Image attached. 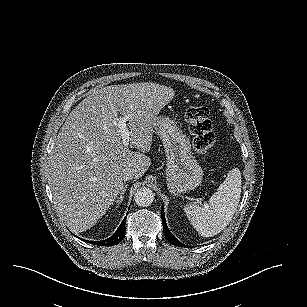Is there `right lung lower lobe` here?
Segmentation results:
<instances>
[{"mask_svg":"<svg viewBox=\"0 0 307 307\" xmlns=\"http://www.w3.org/2000/svg\"><path fill=\"white\" fill-rule=\"evenodd\" d=\"M125 221H126V216L124 218V220L122 221L121 225L119 226V228L117 229V231L108 239L102 240V241H87V240H83L85 242H89L91 244L94 245H98V246H112V245H116L118 244L120 241H122L125 237Z\"/></svg>","mask_w":307,"mask_h":307,"instance_id":"obj_1","label":"right lung lower lobe"}]
</instances>
